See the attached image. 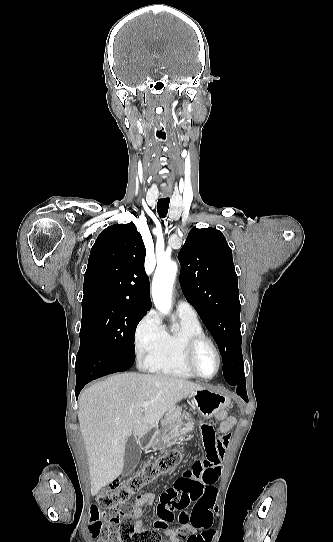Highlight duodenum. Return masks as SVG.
<instances>
[{
	"label": "duodenum",
	"instance_id": "410a0bca",
	"mask_svg": "<svg viewBox=\"0 0 333 542\" xmlns=\"http://www.w3.org/2000/svg\"><path fill=\"white\" fill-rule=\"evenodd\" d=\"M140 444L143 448H149L151 446V439L147 436H142L140 439Z\"/></svg>",
	"mask_w": 333,
	"mask_h": 542
}]
</instances>
